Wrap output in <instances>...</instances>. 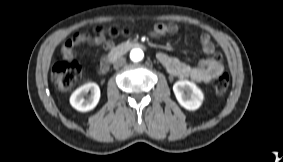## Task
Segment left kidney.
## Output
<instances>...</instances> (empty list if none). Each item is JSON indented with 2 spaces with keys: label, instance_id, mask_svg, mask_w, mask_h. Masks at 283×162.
<instances>
[{
  "label": "left kidney",
  "instance_id": "5707ae66",
  "mask_svg": "<svg viewBox=\"0 0 283 162\" xmlns=\"http://www.w3.org/2000/svg\"><path fill=\"white\" fill-rule=\"evenodd\" d=\"M173 92L179 104L187 110H197L204 99L203 92L188 80L177 81L173 85Z\"/></svg>",
  "mask_w": 283,
  "mask_h": 162
}]
</instances>
